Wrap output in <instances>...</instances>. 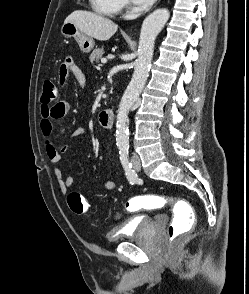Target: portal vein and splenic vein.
<instances>
[{
  "instance_id": "obj_1",
  "label": "portal vein and splenic vein",
  "mask_w": 249,
  "mask_h": 294,
  "mask_svg": "<svg viewBox=\"0 0 249 294\" xmlns=\"http://www.w3.org/2000/svg\"><path fill=\"white\" fill-rule=\"evenodd\" d=\"M101 62H102L103 64H105V63L107 62V60H106V59H102Z\"/></svg>"
}]
</instances>
